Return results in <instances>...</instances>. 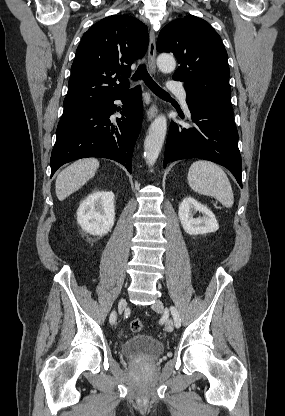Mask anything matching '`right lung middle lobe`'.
Wrapping results in <instances>:
<instances>
[{
    "label": "right lung middle lobe",
    "instance_id": "right-lung-middle-lobe-1",
    "mask_svg": "<svg viewBox=\"0 0 285 416\" xmlns=\"http://www.w3.org/2000/svg\"><path fill=\"white\" fill-rule=\"evenodd\" d=\"M82 107H87V106H64V111L72 110V109H78V108H82Z\"/></svg>",
    "mask_w": 285,
    "mask_h": 416
}]
</instances>
